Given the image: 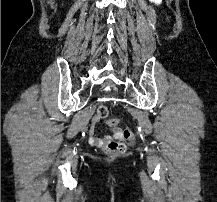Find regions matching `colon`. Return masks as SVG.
<instances>
[{"label":"colon","instance_id":"1","mask_svg":"<svg viewBox=\"0 0 217 202\" xmlns=\"http://www.w3.org/2000/svg\"><path fill=\"white\" fill-rule=\"evenodd\" d=\"M108 114L107 105L106 104H99L97 109V116L99 118H105ZM120 118H109L106 121V126H118L120 124ZM124 140H120L119 138L116 141H110L106 145V153L111 156H118L123 153L124 151V144L120 141H127V140H134V135L132 131H130V127H125L124 129Z\"/></svg>","mask_w":217,"mask_h":202}]
</instances>
